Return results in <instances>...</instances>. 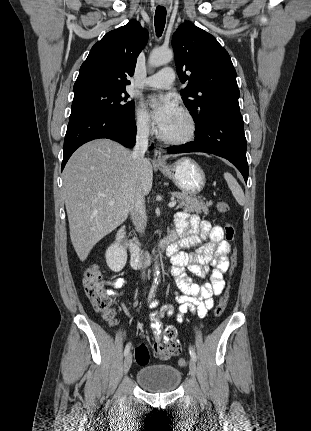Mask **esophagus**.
<instances>
[{"instance_id": "34e87169", "label": "esophagus", "mask_w": 311, "mask_h": 431, "mask_svg": "<svg viewBox=\"0 0 311 431\" xmlns=\"http://www.w3.org/2000/svg\"><path fill=\"white\" fill-rule=\"evenodd\" d=\"M153 164L163 165L166 162V159L162 157L161 148H156L153 157Z\"/></svg>"}]
</instances>
